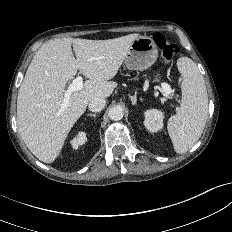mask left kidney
I'll use <instances>...</instances> for the list:
<instances>
[{
    "instance_id": "5707ae66",
    "label": "left kidney",
    "mask_w": 232,
    "mask_h": 232,
    "mask_svg": "<svg viewBox=\"0 0 232 232\" xmlns=\"http://www.w3.org/2000/svg\"><path fill=\"white\" fill-rule=\"evenodd\" d=\"M144 125L151 132H157L163 128L164 113L157 109H150L144 113Z\"/></svg>"
}]
</instances>
